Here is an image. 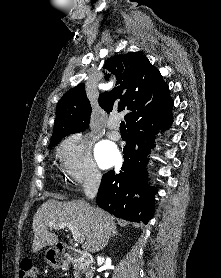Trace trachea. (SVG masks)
I'll list each match as a JSON object with an SVG mask.
<instances>
[{
    "label": "trachea",
    "instance_id": "3493384b",
    "mask_svg": "<svg viewBox=\"0 0 221 278\" xmlns=\"http://www.w3.org/2000/svg\"><path fill=\"white\" fill-rule=\"evenodd\" d=\"M120 131L121 132L126 131V126H125V122L124 121H121V123H120Z\"/></svg>",
    "mask_w": 221,
    "mask_h": 278
}]
</instances>
